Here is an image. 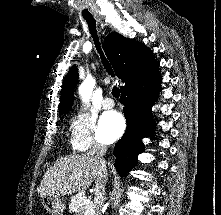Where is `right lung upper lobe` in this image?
Returning <instances> with one entry per match:
<instances>
[{"instance_id": "right-lung-upper-lobe-1", "label": "right lung upper lobe", "mask_w": 221, "mask_h": 215, "mask_svg": "<svg viewBox=\"0 0 221 215\" xmlns=\"http://www.w3.org/2000/svg\"><path fill=\"white\" fill-rule=\"evenodd\" d=\"M104 51L115 73L124 85L121 92L135 87L158 70L152 51L143 43L128 39L119 33H110L103 44ZM78 80V70L73 66L64 78L60 104V113H68L73 104V92Z\"/></svg>"}]
</instances>
